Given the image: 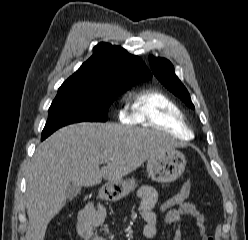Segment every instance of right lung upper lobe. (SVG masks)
Instances as JSON below:
<instances>
[{"label":"right lung upper lobe","mask_w":248,"mask_h":240,"mask_svg":"<svg viewBox=\"0 0 248 240\" xmlns=\"http://www.w3.org/2000/svg\"><path fill=\"white\" fill-rule=\"evenodd\" d=\"M150 78V71L138 56L119 46L99 43L93 55L59 89H106Z\"/></svg>","instance_id":"cb5924a9"}]
</instances>
